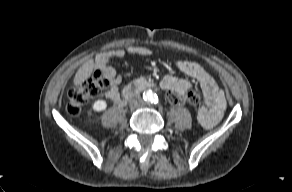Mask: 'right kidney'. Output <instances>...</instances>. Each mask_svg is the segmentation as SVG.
<instances>
[{"mask_svg":"<svg viewBox=\"0 0 292 192\" xmlns=\"http://www.w3.org/2000/svg\"><path fill=\"white\" fill-rule=\"evenodd\" d=\"M106 102L104 100H97L94 104H93V110L95 112H100L106 109Z\"/></svg>","mask_w":292,"mask_h":192,"instance_id":"ca27d5eb","label":"right kidney"}]
</instances>
